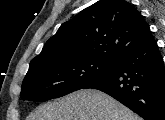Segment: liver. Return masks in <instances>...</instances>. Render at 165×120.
Instances as JSON below:
<instances>
[{"mask_svg":"<svg viewBox=\"0 0 165 120\" xmlns=\"http://www.w3.org/2000/svg\"><path fill=\"white\" fill-rule=\"evenodd\" d=\"M28 120H141L123 104L94 89H83L40 105Z\"/></svg>","mask_w":165,"mask_h":120,"instance_id":"1","label":"liver"}]
</instances>
